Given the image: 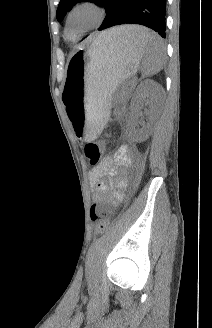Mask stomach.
I'll list each match as a JSON object with an SVG mask.
<instances>
[{
  "label": "stomach",
  "mask_w": 212,
  "mask_h": 328,
  "mask_svg": "<svg viewBox=\"0 0 212 328\" xmlns=\"http://www.w3.org/2000/svg\"><path fill=\"white\" fill-rule=\"evenodd\" d=\"M144 52L129 40H94L71 57L62 95L74 131L86 141L105 126L112 93L138 70Z\"/></svg>",
  "instance_id": "stomach-1"
}]
</instances>
